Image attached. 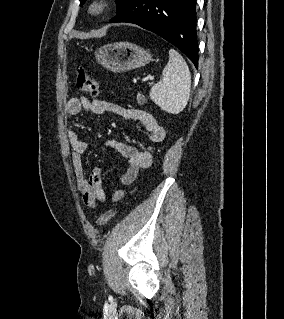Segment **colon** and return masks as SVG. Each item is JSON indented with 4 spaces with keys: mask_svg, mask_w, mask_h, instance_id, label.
<instances>
[{
    "mask_svg": "<svg viewBox=\"0 0 284 319\" xmlns=\"http://www.w3.org/2000/svg\"><path fill=\"white\" fill-rule=\"evenodd\" d=\"M77 87L80 91L91 97H96L99 94V85L81 66L77 67ZM114 214V209L106 211L96 220V224L98 226L106 224Z\"/></svg>",
    "mask_w": 284,
    "mask_h": 319,
    "instance_id": "1",
    "label": "colon"
}]
</instances>
